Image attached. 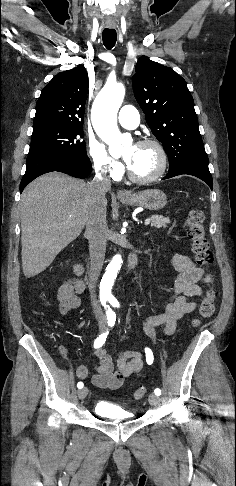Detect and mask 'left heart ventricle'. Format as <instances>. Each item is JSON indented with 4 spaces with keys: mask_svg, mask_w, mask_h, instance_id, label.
<instances>
[{
    "mask_svg": "<svg viewBox=\"0 0 236 486\" xmlns=\"http://www.w3.org/2000/svg\"><path fill=\"white\" fill-rule=\"evenodd\" d=\"M124 157L130 170L139 177L152 175L160 164L158 151L153 146H130Z\"/></svg>",
    "mask_w": 236,
    "mask_h": 486,
    "instance_id": "obj_1",
    "label": "left heart ventricle"
}]
</instances>
